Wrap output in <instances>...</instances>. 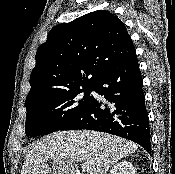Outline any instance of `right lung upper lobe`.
<instances>
[{
	"mask_svg": "<svg viewBox=\"0 0 175 174\" xmlns=\"http://www.w3.org/2000/svg\"><path fill=\"white\" fill-rule=\"evenodd\" d=\"M134 53L124 23L109 11H94L57 25L36 53L26 106L59 92L95 85L110 67Z\"/></svg>",
	"mask_w": 175,
	"mask_h": 174,
	"instance_id": "right-lung-upper-lobe-1",
	"label": "right lung upper lobe"
}]
</instances>
